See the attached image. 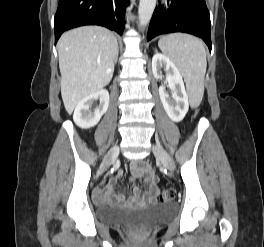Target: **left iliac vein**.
<instances>
[{
	"instance_id": "1",
	"label": "left iliac vein",
	"mask_w": 264,
	"mask_h": 247,
	"mask_svg": "<svg viewBox=\"0 0 264 247\" xmlns=\"http://www.w3.org/2000/svg\"><path fill=\"white\" fill-rule=\"evenodd\" d=\"M155 157L161 161L162 165L170 172L174 171V163L169 154L160 145H153Z\"/></svg>"
}]
</instances>
